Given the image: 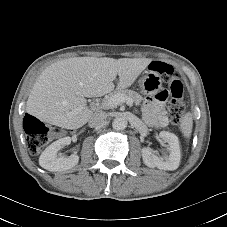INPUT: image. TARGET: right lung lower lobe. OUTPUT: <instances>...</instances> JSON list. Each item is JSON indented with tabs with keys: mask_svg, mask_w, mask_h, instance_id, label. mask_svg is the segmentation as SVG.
Returning a JSON list of instances; mask_svg holds the SVG:
<instances>
[{
	"mask_svg": "<svg viewBox=\"0 0 227 227\" xmlns=\"http://www.w3.org/2000/svg\"><path fill=\"white\" fill-rule=\"evenodd\" d=\"M27 116H29V115H28V114H26L25 118H26ZM25 118H24V119H25Z\"/></svg>",
	"mask_w": 227,
	"mask_h": 227,
	"instance_id": "1",
	"label": "right lung lower lobe"
}]
</instances>
